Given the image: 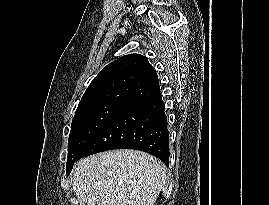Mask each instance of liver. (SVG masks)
I'll use <instances>...</instances> for the list:
<instances>
[{"label":"liver","mask_w":269,"mask_h":205,"mask_svg":"<svg viewBox=\"0 0 269 205\" xmlns=\"http://www.w3.org/2000/svg\"><path fill=\"white\" fill-rule=\"evenodd\" d=\"M72 181L79 205H154L165 167L142 151L113 150L78 161Z\"/></svg>","instance_id":"liver-1"}]
</instances>
